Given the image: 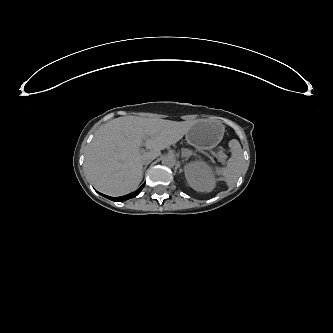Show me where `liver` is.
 Here are the masks:
<instances>
[{
	"mask_svg": "<svg viewBox=\"0 0 333 333\" xmlns=\"http://www.w3.org/2000/svg\"><path fill=\"white\" fill-rule=\"evenodd\" d=\"M162 122L143 120L139 136L95 137L85 155V169L93 186L106 194H127L143 178L145 158H156L160 150L178 142L181 133H159ZM148 152H142L141 146Z\"/></svg>",
	"mask_w": 333,
	"mask_h": 333,
	"instance_id": "1",
	"label": "liver"
}]
</instances>
